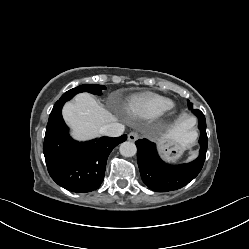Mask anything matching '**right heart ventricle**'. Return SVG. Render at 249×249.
Returning <instances> with one entry per match:
<instances>
[{
	"label": "right heart ventricle",
	"mask_w": 249,
	"mask_h": 249,
	"mask_svg": "<svg viewBox=\"0 0 249 249\" xmlns=\"http://www.w3.org/2000/svg\"><path fill=\"white\" fill-rule=\"evenodd\" d=\"M172 101L155 93H144L135 96L126 104V110L140 117H156L172 107Z\"/></svg>",
	"instance_id": "right-heart-ventricle-1"
}]
</instances>
